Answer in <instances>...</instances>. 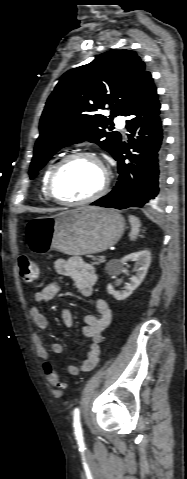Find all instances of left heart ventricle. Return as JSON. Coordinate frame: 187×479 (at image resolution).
<instances>
[{"label":"left heart ventricle","instance_id":"obj_1","mask_svg":"<svg viewBox=\"0 0 187 479\" xmlns=\"http://www.w3.org/2000/svg\"><path fill=\"white\" fill-rule=\"evenodd\" d=\"M104 172L92 159L80 158L65 165L55 180V192L60 198L78 200L94 194L101 186Z\"/></svg>","mask_w":187,"mask_h":479}]
</instances>
